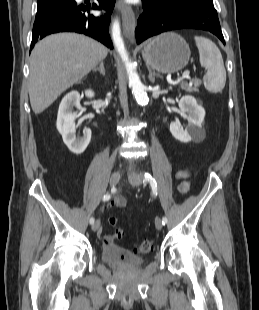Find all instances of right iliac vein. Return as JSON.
<instances>
[{"mask_svg": "<svg viewBox=\"0 0 259 310\" xmlns=\"http://www.w3.org/2000/svg\"><path fill=\"white\" fill-rule=\"evenodd\" d=\"M120 180V172L116 171L114 173H112L111 177H110V185L112 187L116 186L118 184ZM100 227V221L97 220L93 225H92V231L96 232Z\"/></svg>", "mask_w": 259, "mask_h": 310, "instance_id": "1", "label": "right iliac vein"}]
</instances>
